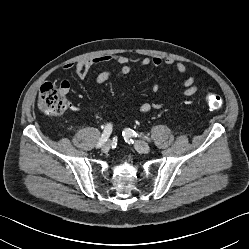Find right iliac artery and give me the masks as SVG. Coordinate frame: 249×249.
Segmentation results:
<instances>
[{"label": "right iliac artery", "instance_id": "82829eb1", "mask_svg": "<svg viewBox=\"0 0 249 249\" xmlns=\"http://www.w3.org/2000/svg\"><path fill=\"white\" fill-rule=\"evenodd\" d=\"M111 132H112V125L107 124L104 128L101 138L97 142V145H96L97 148H100L108 140Z\"/></svg>", "mask_w": 249, "mask_h": 249}]
</instances>
